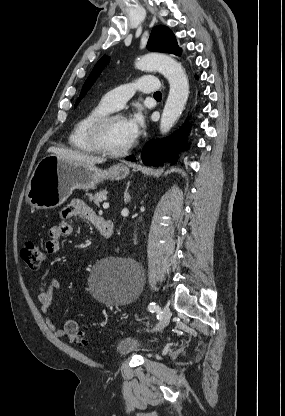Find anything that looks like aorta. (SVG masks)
<instances>
[{"label":"aorta","mask_w":285,"mask_h":416,"mask_svg":"<svg viewBox=\"0 0 285 416\" xmlns=\"http://www.w3.org/2000/svg\"><path fill=\"white\" fill-rule=\"evenodd\" d=\"M136 67L143 71H159L170 85L161 120L160 132L166 134L178 120L189 96V82L181 64L169 56L147 54L136 62Z\"/></svg>","instance_id":"762f6f07"}]
</instances>
